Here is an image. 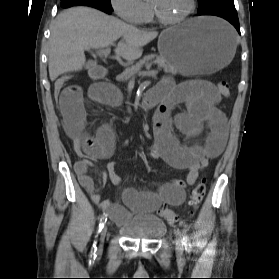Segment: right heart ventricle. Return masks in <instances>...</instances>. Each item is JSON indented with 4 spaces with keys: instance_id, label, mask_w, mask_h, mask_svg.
I'll return each mask as SVG.
<instances>
[{
    "instance_id": "e07e8e85",
    "label": "right heart ventricle",
    "mask_w": 279,
    "mask_h": 279,
    "mask_svg": "<svg viewBox=\"0 0 279 279\" xmlns=\"http://www.w3.org/2000/svg\"><path fill=\"white\" fill-rule=\"evenodd\" d=\"M152 21H153V15H152L151 9L148 5V10H147V12H146V14H145V16H144V18L142 19L141 22L142 23H149V22H152Z\"/></svg>"
}]
</instances>
